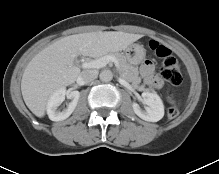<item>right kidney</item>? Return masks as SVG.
<instances>
[{"mask_svg":"<svg viewBox=\"0 0 219 174\" xmlns=\"http://www.w3.org/2000/svg\"><path fill=\"white\" fill-rule=\"evenodd\" d=\"M66 90L61 88L55 91L47 102V114L50 120L52 121H62L67 119L75 110L79 97V91H72L69 94V99L72 101L68 104L67 108L60 111L58 108L62 102L65 100Z\"/></svg>","mask_w":219,"mask_h":174,"instance_id":"right-kidney-1","label":"right kidney"}]
</instances>
